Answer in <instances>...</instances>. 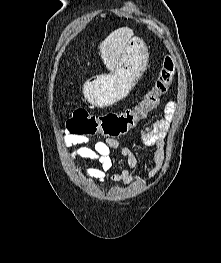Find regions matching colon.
<instances>
[{
	"label": "colon",
	"instance_id": "1",
	"mask_svg": "<svg viewBox=\"0 0 221 263\" xmlns=\"http://www.w3.org/2000/svg\"><path fill=\"white\" fill-rule=\"evenodd\" d=\"M174 69L173 59L166 57L153 86L137 105L100 115L91 114L85 109H76L66 123L68 130L84 137L125 135L159 106L171 86Z\"/></svg>",
	"mask_w": 221,
	"mask_h": 263
}]
</instances>
